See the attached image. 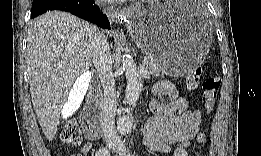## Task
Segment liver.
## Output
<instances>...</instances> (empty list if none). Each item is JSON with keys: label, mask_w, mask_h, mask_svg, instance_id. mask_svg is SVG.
I'll list each match as a JSON object with an SVG mask.
<instances>
[{"label": "liver", "mask_w": 261, "mask_h": 156, "mask_svg": "<svg viewBox=\"0 0 261 156\" xmlns=\"http://www.w3.org/2000/svg\"><path fill=\"white\" fill-rule=\"evenodd\" d=\"M98 28L62 11L35 18L27 31V69L33 107L45 137L52 141L70 107L74 83L92 66ZM80 100L72 105L78 107Z\"/></svg>", "instance_id": "obj_1"}]
</instances>
